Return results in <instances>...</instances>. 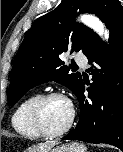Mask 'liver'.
I'll return each instance as SVG.
<instances>
[{"mask_svg": "<svg viewBox=\"0 0 123 152\" xmlns=\"http://www.w3.org/2000/svg\"><path fill=\"white\" fill-rule=\"evenodd\" d=\"M56 144L55 142L40 143L29 147L25 152H49Z\"/></svg>", "mask_w": 123, "mask_h": 152, "instance_id": "1", "label": "liver"}]
</instances>
